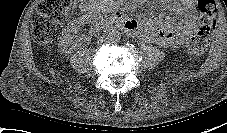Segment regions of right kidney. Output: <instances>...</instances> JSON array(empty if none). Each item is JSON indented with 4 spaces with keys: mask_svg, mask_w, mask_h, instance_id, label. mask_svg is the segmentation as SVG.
I'll return each instance as SVG.
<instances>
[{
    "mask_svg": "<svg viewBox=\"0 0 227 133\" xmlns=\"http://www.w3.org/2000/svg\"><path fill=\"white\" fill-rule=\"evenodd\" d=\"M82 25H84V20L80 18L73 20L68 24L67 28L65 29V35L63 36L59 44L61 51L66 52L67 47H73V45L71 44L72 42L75 43L74 39L77 37L76 34Z\"/></svg>",
    "mask_w": 227,
    "mask_h": 133,
    "instance_id": "1",
    "label": "right kidney"
}]
</instances>
